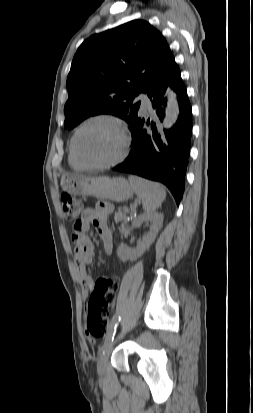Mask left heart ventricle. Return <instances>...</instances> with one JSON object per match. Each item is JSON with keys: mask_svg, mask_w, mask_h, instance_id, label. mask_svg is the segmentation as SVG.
I'll list each match as a JSON object with an SVG mask.
<instances>
[{"mask_svg": "<svg viewBox=\"0 0 253 413\" xmlns=\"http://www.w3.org/2000/svg\"><path fill=\"white\" fill-rule=\"evenodd\" d=\"M77 147L85 161L104 163L120 154L122 138L115 125L108 122H95L80 132Z\"/></svg>", "mask_w": 253, "mask_h": 413, "instance_id": "1", "label": "left heart ventricle"}]
</instances>
